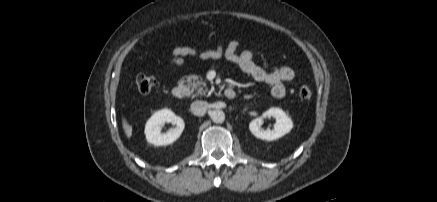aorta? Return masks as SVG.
<instances>
[{
    "label": "aorta",
    "mask_w": 437,
    "mask_h": 202,
    "mask_svg": "<svg viewBox=\"0 0 437 202\" xmlns=\"http://www.w3.org/2000/svg\"><path fill=\"white\" fill-rule=\"evenodd\" d=\"M210 117L214 123H223L225 120V113L222 110H214L210 113Z\"/></svg>",
    "instance_id": "aorta-1"
}]
</instances>
